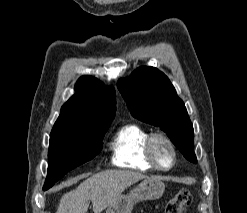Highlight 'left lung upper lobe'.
<instances>
[{"label":"left lung upper lobe","mask_w":247,"mask_h":213,"mask_svg":"<svg viewBox=\"0 0 247 213\" xmlns=\"http://www.w3.org/2000/svg\"><path fill=\"white\" fill-rule=\"evenodd\" d=\"M117 87L135 118L160 127L187 160L197 162L192 123L166 75L157 68L142 66L129 78L119 80Z\"/></svg>","instance_id":"obj_1"}]
</instances>
